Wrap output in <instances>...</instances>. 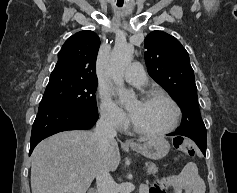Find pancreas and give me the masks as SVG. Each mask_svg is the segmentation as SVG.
<instances>
[{"mask_svg":"<svg viewBox=\"0 0 237 193\" xmlns=\"http://www.w3.org/2000/svg\"><path fill=\"white\" fill-rule=\"evenodd\" d=\"M146 169L148 174H155L158 172V168L155 163L153 162H146Z\"/></svg>","mask_w":237,"mask_h":193,"instance_id":"obj_1","label":"pancreas"}]
</instances>
